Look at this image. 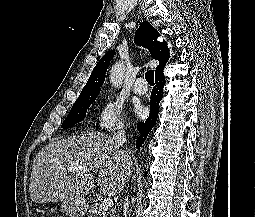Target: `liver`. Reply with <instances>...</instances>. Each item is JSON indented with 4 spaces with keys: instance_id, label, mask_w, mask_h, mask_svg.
Segmentation results:
<instances>
[{
    "instance_id": "liver-1",
    "label": "liver",
    "mask_w": 255,
    "mask_h": 217,
    "mask_svg": "<svg viewBox=\"0 0 255 217\" xmlns=\"http://www.w3.org/2000/svg\"><path fill=\"white\" fill-rule=\"evenodd\" d=\"M73 164L84 166L67 174ZM133 170L131 157L114 146L113 139L100 133H83L49 143L34 159L29 192L31 200L43 204L83 199L97 186L104 194H119Z\"/></svg>"
}]
</instances>
